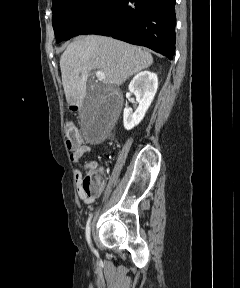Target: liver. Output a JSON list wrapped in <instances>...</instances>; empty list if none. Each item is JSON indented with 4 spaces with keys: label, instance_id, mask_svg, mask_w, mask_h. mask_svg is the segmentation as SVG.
<instances>
[{
    "label": "liver",
    "instance_id": "liver-1",
    "mask_svg": "<svg viewBox=\"0 0 240 288\" xmlns=\"http://www.w3.org/2000/svg\"><path fill=\"white\" fill-rule=\"evenodd\" d=\"M152 63V55L140 47L104 36H81L60 57L66 99L70 105L82 106L93 70L104 73V84L119 86Z\"/></svg>",
    "mask_w": 240,
    "mask_h": 288
}]
</instances>
